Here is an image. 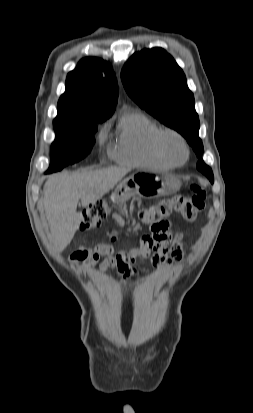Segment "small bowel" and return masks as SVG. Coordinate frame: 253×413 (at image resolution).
<instances>
[{"label":"small bowel","instance_id":"1","mask_svg":"<svg viewBox=\"0 0 253 413\" xmlns=\"http://www.w3.org/2000/svg\"><path fill=\"white\" fill-rule=\"evenodd\" d=\"M114 220L121 222L120 215L115 214ZM169 223L164 222L158 228H152V234L142 238L139 248L129 252H119L113 254V248L109 245L98 244L92 249L79 246L70 255L71 263L80 262L85 268H90L96 264L102 271L117 267L124 280L130 278L137 279V275L131 270L136 257H148L152 251V263L155 267H167L174 261L182 257V234L172 235L169 231ZM101 256H106L99 262Z\"/></svg>","mask_w":253,"mask_h":413}]
</instances>
